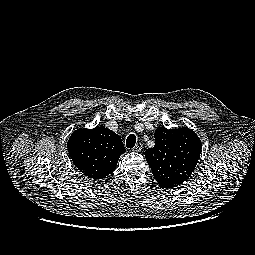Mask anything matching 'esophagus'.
I'll use <instances>...</instances> for the list:
<instances>
[{
	"mask_svg": "<svg viewBox=\"0 0 255 255\" xmlns=\"http://www.w3.org/2000/svg\"><path fill=\"white\" fill-rule=\"evenodd\" d=\"M142 144L139 142L135 145V147L133 148L134 152H140L142 150Z\"/></svg>",
	"mask_w": 255,
	"mask_h": 255,
	"instance_id": "obj_1",
	"label": "esophagus"
}]
</instances>
